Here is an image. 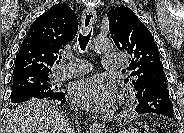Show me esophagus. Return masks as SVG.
<instances>
[{"label":"esophagus","instance_id":"esophagus-1","mask_svg":"<svg viewBox=\"0 0 184 133\" xmlns=\"http://www.w3.org/2000/svg\"><path fill=\"white\" fill-rule=\"evenodd\" d=\"M96 21V12L94 9L87 8L81 18V27L84 32H87L89 28L95 23ZM90 131L95 133L101 132V127L97 123H93L90 126Z\"/></svg>","mask_w":184,"mask_h":133}]
</instances>
